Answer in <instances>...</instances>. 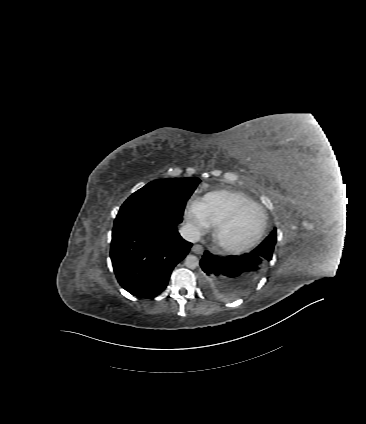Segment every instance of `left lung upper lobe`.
<instances>
[{
	"instance_id": "left-lung-upper-lobe-1",
	"label": "left lung upper lobe",
	"mask_w": 366,
	"mask_h": 424,
	"mask_svg": "<svg viewBox=\"0 0 366 424\" xmlns=\"http://www.w3.org/2000/svg\"><path fill=\"white\" fill-rule=\"evenodd\" d=\"M276 240H277V234H276V229H274L270 233V235L257 248H255L252 251L253 253L257 255L262 256L264 259V263L259 272L250 275L251 280H257L262 275L265 266L272 258Z\"/></svg>"
}]
</instances>
